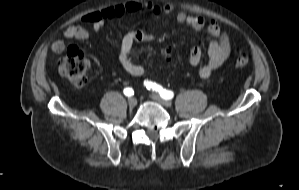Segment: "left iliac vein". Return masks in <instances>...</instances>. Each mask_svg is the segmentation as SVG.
I'll list each match as a JSON object with an SVG mask.
<instances>
[{"mask_svg": "<svg viewBox=\"0 0 299 190\" xmlns=\"http://www.w3.org/2000/svg\"><path fill=\"white\" fill-rule=\"evenodd\" d=\"M151 98L158 102L159 104H161L162 106L164 107H171L172 106V102L169 101V100H165V99H162L159 95L157 94H152L151 95Z\"/></svg>", "mask_w": 299, "mask_h": 190, "instance_id": "left-iliac-vein-1", "label": "left iliac vein"}]
</instances>
